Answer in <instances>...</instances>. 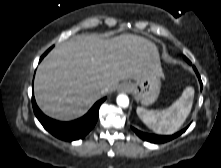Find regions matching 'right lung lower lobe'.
<instances>
[{"label": "right lung lower lobe", "instance_id": "right-lung-lower-lobe-1", "mask_svg": "<svg viewBox=\"0 0 221 168\" xmlns=\"http://www.w3.org/2000/svg\"><path fill=\"white\" fill-rule=\"evenodd\" d=\"M49 50L42 55L40 60ZM105 99L97 101L86 115L71 122L56 121L44 115L38 108L34 95H32V105L37 119L49 133L64 141H73L84 138L93 129L98 119L99 107Z\"/></svg>", "mask_w": 221, "mask_h": 168}]
</instances>
